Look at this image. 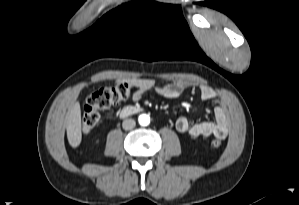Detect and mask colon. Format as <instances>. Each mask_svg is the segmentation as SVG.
<instances>
[{"label":"colon","instance_id":"5ec220e1","mask_svg":"<svg viewBox=\"0 0 299 205\" xmlns=\"http://www.w3.org/2000/svg\"><path fill=\"white\" fill-rule=\"evenodd\" d=\"M134 85L132 81L125 80L114 86L102 87L91 93L85 103L82 116V131L89 133L99 122V111L118 105L131 94ZM214 148L221 146L219 139L211 141Z\"/></svg>","mask_w":299,"mask_h":205}]
</instances>
